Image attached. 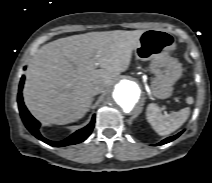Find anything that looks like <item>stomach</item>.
<instances>
[{
    "label": "stomach",
    "instance_id": "obj_1",
    "mask_svg": "<svg viewBox=\"0 0 212 183\" xmlns=\"http://www.w3.org/2000/svg\"><path fill=\"white\" fill-rule=\"evenodd\" d=\"M175 47L176 42L170 32L148 29L143 32L134 49L137 59L150 61V71L155 75L151 82V91L157 99L170 97L173 85L182 75L181 63L170 56Z\"/></svg>",
    "mask_w": 212,
    "mask_h": 183
}]
</instances>
